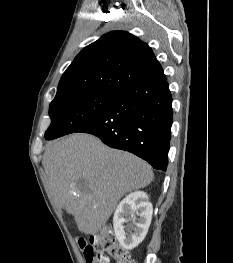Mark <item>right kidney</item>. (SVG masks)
Returning a JSON list of instances; mask_svg holds the SVG:
<instances>
[{"label": "right kidney", "instance_id": "right-kidney-1", "mask_svg": "<svg viewBox=\"0 0 233 263\" xmlns=\"http://www.w3.org/2000/svg\"><path fill=\"white\" fill-rule=\"evenodd\" d=\"M152 213V204L143 191L130 193L119 203L114 213L113 226L115 235L124 249L132 250L144 240Z\"/></svg>", "mask_w": 233, "mask_h": 263}]
</instances>
